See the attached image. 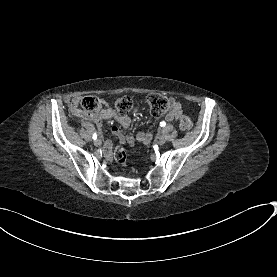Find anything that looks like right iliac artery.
I'll use <instances>...</instances> for the list:
<instances>
[{"label": "right iliac artery", "mask_w": 277, "mask_h": 277, "mask_svg": "<svg viewBox=\"0 0 277 277\" xmlns=\"http://www.w3.org/2000/svg\"><path fill=\"white\" fill-rule=\"evenodd\" d=\"M92 138H93L94 140H96V139H97V134L94 133Z\"/></svg>", "instance_id": "1"}]
</instances>
